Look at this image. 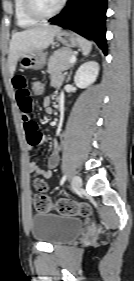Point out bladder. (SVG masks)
<instances>
[{
	"mask_svg": "<svg viewBox=\"0 0 134 281\" xmlns=\"http://www.w3.org/2000/svg\"><path fill=\"white\" fill-rule=\"evenodd\" d=\"M83 228L80 218L39 212L32 217L31 234L39 242L56 246L73 241Z\"/></svg>",
	"mask_w": 134,
	"mask_h": 281,
	"instance_id": "31cf9c89",
	"label": "bladder"
}]
</instances>
